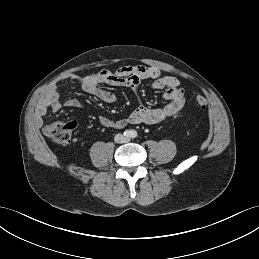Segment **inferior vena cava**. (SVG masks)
<instances>
[{
    "instance_id": "602c4592",
    "label": "inferior vena cava",
    "mask_w": 259,
    "mask_h": 259,
    "mask_svg": "<svg viewBox=\"0 0 259 259\" xmlns=\"http://www.w3.org/2000/svg\"><path fill=\"white\" fill-rule=\"evenodd\" d=\"M116 138H119L118 143H125L127 141V138H125L121 134L116 135Z\"/></svg>"
}]
</instances>
